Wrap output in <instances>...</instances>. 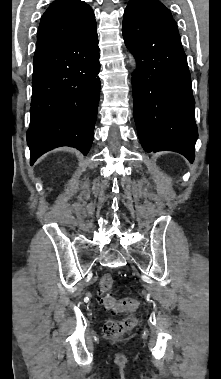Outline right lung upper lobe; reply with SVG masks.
Here are the masks:
<instances>
[{"mask_svg": "<svg viewBox=\"0 0 221 379\" xmlns=\"http://www.w3.org/2000/svg\"><path fill=\"white\" fill-rule=\"evenodd\" d=\"M96 23L92 8L81 0H55L38 29L35 55L77 39Z\"/></svg>", "mask_w": 221, "mask_h": 379, "instance_id": "cb5924a9", "label": "right lung upper lobe"}]
</instances>
